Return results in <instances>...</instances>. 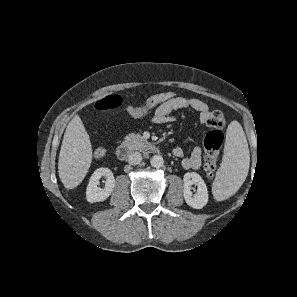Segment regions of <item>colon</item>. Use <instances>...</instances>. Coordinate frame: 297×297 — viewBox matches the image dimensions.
Here are the masks:
<instances>
[{
  "instance_id": "obj_1",
  "label": "colon",
  "mask_w": 297,
  "mask_h": 297,
  "mask_svg": "<svg viewBox=\"0 0 297 297\" xmlns=\"http://www.w3.org/2000/svg\"><path fill=\"white\" fill-rule=\"evenodd\" d=\"M175 97L174 92L156 94L146 99L140 106L143 110L151 109L163 102ZM124 98L120 95H110L100 100L95 109L99 112H106L119 109L124 105ZM225 124L224 113L220 109L213 110L207 120L211 131L204 138V170L208 179H212L216 170L217 159L223 144V133L220 129ZM106 154L104 148H97L94 152L96 158H102Z\"/></svg>"
}]
</instances>
